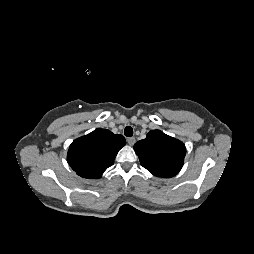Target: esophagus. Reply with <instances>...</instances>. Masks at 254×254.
Here are the masks:
<instances>
[{
	"label": "esophagus",
	"mask_w": 254,
	"mask_h": 254,
	"mask_svg": "<svg viewBox=\"0 0 254 254\" xmlns=\"http://www.w3.org/2000/svg\"><path fill=\"white\" fill-rule=\"evenodd\" d=\"M127 142L129 145H134V143L136 142L135 137H129L127 138Z\"/></svg>",
	"instance_id": "esophagus-1"
}]
</instances>
